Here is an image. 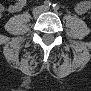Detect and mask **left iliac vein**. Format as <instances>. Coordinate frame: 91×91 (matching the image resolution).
Returning a JSON list of instances; mask_svg holds the SVG:
<instances>
[{
    "instance_id": "left-iliac-vein-1",
    "label": "left iliac vein",
    "mask_w": 91,
    "mask_h": 91,
    "mask_svg": "<svg viewBox=\"0 0 91 91\" xmlns=\"http://www.w3.org/2000/svg\"><path fill=\"white\" fill-rule=\"evenodd\" d=\"M42 11H43V12L49 11V7H44Z\"/></svg>"
}]
</instances>
